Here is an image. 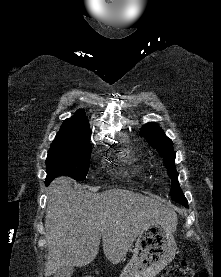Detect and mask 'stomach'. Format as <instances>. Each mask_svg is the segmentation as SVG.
<instances>
[{
	"label": "stomach",
	"mask_w": 221,
	"mask_h": 277,
	"mask_svg": "<svg viewBox=\"0 0 221 277\" xmlns=\"http://www.w3.org/2000/svg\"><path fill=\"white\" fill-rule=\"evenodd\" d=\"M177 218L158 220L145 226L136 241L133 256L120 277H155L175 257L174 232Z\"/></svg>",
	"instance_id": "obj_1"
}]
</instances>
